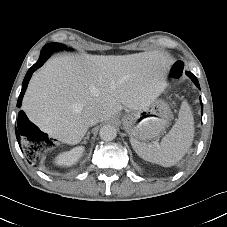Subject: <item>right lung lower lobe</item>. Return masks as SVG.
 <instances>
[{
    "label": "right lung lower lobe",
    "mask_w": 227,
    "mask_h": 227,
    "mask_svg": "<svg viewBox=\"0 0 227 227\" xmlns=\"http://www.w3.org/2000/svg\"><path fill=\"white\" fill-rule=\"evenodd\" d=\"M54 51L52 49H49L47 46H44L43 49L41 50V54L39 57V60L28 70L22 84V90L18 98L17 102V107L21 106L22 98L23 95L26 91L27 85L29 83V80L32 76V73L39 67L43 65V63L49 58V56L53 53ZM29 127H34L38 129L34 124H32L25 113L23 111H20L18 114V129H16V138L18 140L19 146H20V134L21 133H26L28 134V129Z\"/></svg>",
    "instance_id": "obj_1"
}]
</instances>
